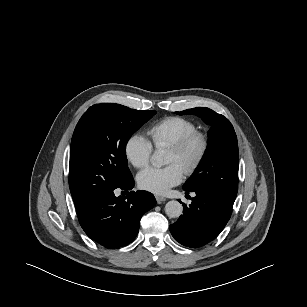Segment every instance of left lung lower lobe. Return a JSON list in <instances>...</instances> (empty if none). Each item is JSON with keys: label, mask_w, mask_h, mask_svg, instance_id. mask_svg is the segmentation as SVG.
I'll list each match as a JSON object with an SVG mask.
<instances>
[{"label": "left lung lower lobe", "mask_w": 307, "mask_h": 307, "mask_svg": "<svg viewBox=\"0 0 307 307\" xmlns=\"http://www.w3.org/2000/svg\"><path fill=\"white\" fill-rule=\"evenodd\" d=\"M185 191L196 196L189 207L183 204V215L170 225V232L180 244L198 248L219 235L230 219L233 206L206 190Z\"/></svg>", "instance_id": "1"}]
</instances>
